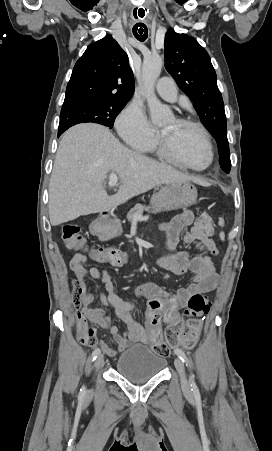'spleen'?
<instances>
[{
    "label": "spleen",
    "mask_w": 272,
    "mask_h": 451,
    "mask_svg": "<svg viewBox=\"0 0 272 451\" xmlns=\"http://www.w3.org/2000/svg\"><path fill=\"white\" fill-rule=\"evenodd\" d=\"M218 224H219V226H224V220H223V218H219ZM219 237H220V239H222V241H224V239H225V233H224V231H220Z\"/></svg>",
    "instance_id": "1"
}]
</instances>
